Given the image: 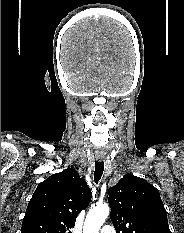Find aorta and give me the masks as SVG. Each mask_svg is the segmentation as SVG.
<instances>
[{
	"label": "aorta",
	"mask_w": 184,
	"mask_h": 233,
	"mask_svg": "<svg viewBox=\"0 0 184 233\" xmlns=\"http://www.w3.org/2000/svg\"><path fill=\"white\" fill-rule=\"evenodd\" d=\"M109 212L110 208L108 204H100L91 208L85 219L83 233H99Z\"/></svg>",
	"instance_id": "1"
}]
</instances>
